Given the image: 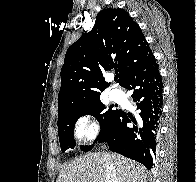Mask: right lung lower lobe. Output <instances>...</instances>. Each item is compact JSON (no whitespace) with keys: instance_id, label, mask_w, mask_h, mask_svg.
Returning <instances> with one entry per match:
<instances>
[{"instance_id":"right-lung-lower-lobe-1","label":"right lung lower lobe","mask_w":196,"mask_h":182,"mask_svg":"<svg viewBox=\"0 0 196 182\" xmlns=\"http://www.w3.org/2000/svg\"><path fill=\"white\" fill-rule=\"evenodd\" d=\"M125 88L133 91V101L141 110L140 118L129 117L118 110L96 141L107 142L111 151L136 160L150 170L154 166L163 111V83L155 57L129 80Z\"/></svg>"}]
</instances>
